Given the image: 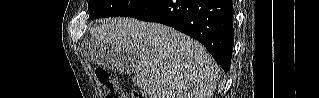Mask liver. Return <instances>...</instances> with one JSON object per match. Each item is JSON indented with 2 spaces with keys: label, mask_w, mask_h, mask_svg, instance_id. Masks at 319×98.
<instances>
[{
  "label": "liver",
  "mask_w": 319,
  "mask_h": 98,
  "mask_svg": "<svg viewBox=\"0 0 319 98\" xmlns=\"http://www.w3.org/2000/svg\"><path fill=\"white\" fill-rule=\"evenodd\" d=\"M90 34L96 43L137 58L132 81L150 98L213 96L220 68L199 42L185 34L162 24L121 17L92 27Z\"/></svg>",
  "instance_id": "6515ba94"
}]
</instances>
